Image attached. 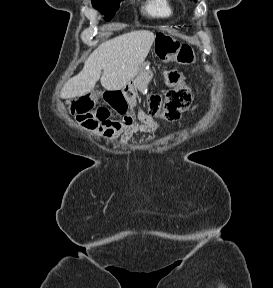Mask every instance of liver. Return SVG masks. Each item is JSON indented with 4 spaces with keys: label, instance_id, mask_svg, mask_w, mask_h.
I'll return each instance as SVG.
<instances>
[{
    "label": "liver",
    "instance_id": "liver-1",
    "mask_svg": "<svg viewBox=\"0 0 273 288\" xmlns=\"http://www.w3.org/2000/svg\"><path fill=\"white\" fill-rule=\"evenodd\" d=\"M154 40L153 32L138 30L101 43L85 61L82 71L66 82L61 98L72 99L90 93L102 70L100 82L105 89H122L138 74Z\"/></svg>",
    "mask_w": 273,
    "mask_h": 288
}]
</instances>
